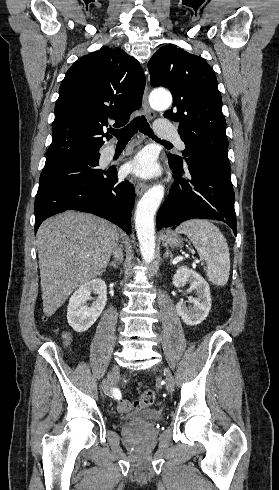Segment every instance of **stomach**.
Here are the masks:
<instances>
[{"label":"stomach","instance_id":"1","mask_svg":"<svg viewBox=\"0 0 279 490\" xmlns=\"http://www.w3.org/2000/svg\"><path fill=\"white\" fill-rule=\"evenodd\" d=\"M161 240L164 246H169V248H181L182 246L181 238L175 232H171V230H163L161 232Z\"/></svg>","mask_w":279,"mask_h":490}]
</instances>
